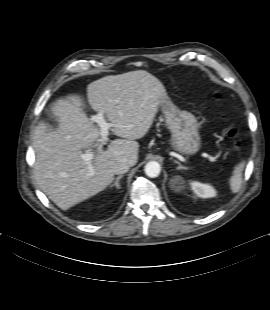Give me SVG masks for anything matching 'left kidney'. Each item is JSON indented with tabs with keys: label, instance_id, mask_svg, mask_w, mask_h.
<instances>
[{
	"label": "left kidney",
	"instance_id": "obj_1",
	"mask_svg": "<svg viewBox=\"0 0 270 310\" xmlns=\"http://www.w3.org/2000/svg\"><path fill=\"white\" fill-rule=\"evenodd\" d=\"M191 188L193 192L201 198H210L216 196L215 189L208 185V184H202L199 182H191L190 183Z\"/></svg>",
	"mask_w": 270,
	"mask_h": 310
}]
</instances>
